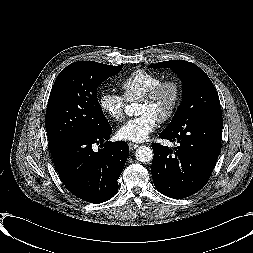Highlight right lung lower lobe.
Listing matches in <instances>:
<instances>
[{
    "label": "right lung lower lobe",
    "instance_id": "obj_1",
    "mask_svg": "<svg viewBox=\"0 0 253 253\" xmlns=\"http://www.w3.org/2000/svg\"><path fill=\"white\" fill-rule=\"evenodd\" d=\"M111 132L110 124L97 132H80L50 151L65 187L84 201L102 203L118 191L129 147L124 141H108ZM94 144L102 149L95 152Z\"/></svg>",
    "mask_w": 253,
    "mask_h": 253
}]
</instances>
